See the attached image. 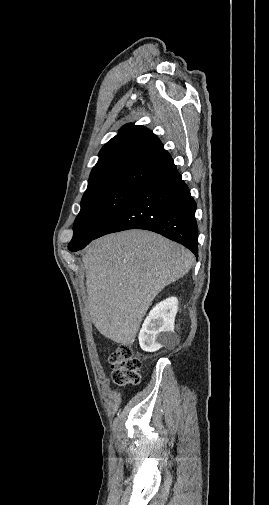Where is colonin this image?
<instances>
[{
    "label": "colon",
    "instance_id": "colon-1",
    "mask_svg": "<svg viewBox=\"0 0 269 505\" xmlns=\"http://www.w3.org/2000/svg\"><path fill=\"white\" fill-rule=\"evenodd\" d=\"M111 366V378L118 386L136 384L140 380L141 361L134 355L132 348L120 344L108 358Z\"/></svg>",
    "mask_w": 269,
    "mask_h": 505
}]
</instances>
